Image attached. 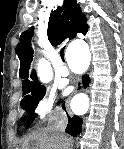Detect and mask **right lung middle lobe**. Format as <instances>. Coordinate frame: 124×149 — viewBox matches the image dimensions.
Segmentation results:
<instances>
[{"label":"right lung middle lobe","instance_id":"dd1d6c3e","mask_svg":"<svg viewBox=\"0 0 124 149\" xmlns=\"http://www.w3.org/2000/svg\"><path fill=\"white\" fill-rule=\"evenodd\" d=\"M24 99L21 101V107L31 115L38 105V102L46 93L44 86L22 87ZM25 117L22 118L24 121Z\"/></svg>","mask_w":124,"mask_h":149}]
</instances>
